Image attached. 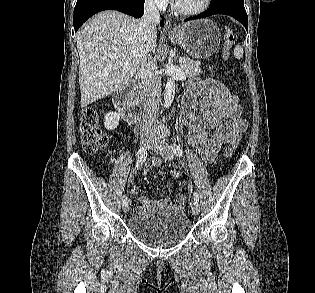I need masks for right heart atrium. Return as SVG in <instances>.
<instances>
[{
    "label": "right heart atrium",
    "mask_w": 315,
    "mask_h": 293,
    "mask_svg": "<svg viewBox=\"0 0 315 293\" xmlns=\"http://www.w3.org/2000/svg\"><path fill=\"white\" fill-rule=\"evenodd\" d=\"M152 5L158 9H165L169 3V0H148Z\"/></svg>",
    "instance_id": "obj_1"
}]
</instances>
